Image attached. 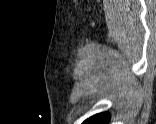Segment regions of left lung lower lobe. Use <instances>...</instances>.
<instances>
[{
    "label": "left lung lower lobe",
    "mask_w": 156,
    "mask_h": 124,
    "mask_svg": "<svg viewBox=\"0 0 156 124\" xmlns=\"http://www.w3.org/2000/svg\"><path fill=\"white\" fill-rule=\"evenodd\" d=\"M109 115L107 113H100L94 115L83 122V124H108L109 123Z\"/></svg>",
    "instance_id": "obj_1"
}]
</instances>
